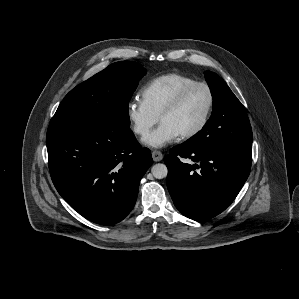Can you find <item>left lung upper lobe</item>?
I'll return each instance as SVG.
<instances>
[{
    "mask_svg": "<svg viewBox=\"0 0 299 299\" xmlns=\"http://www.w3.org/2000/svg\"><path fill=\"white\" fill-rule=\"evenodd\" d=\"M213 111L201 131L185 143L203 150L252 149V129L244 106L217 74L206 71Z\"/></svg>",
    "mask_w": 299,
    "mask_h": 299,
    "instance_id": "1",
    "label": "left lung upper lobe"
}]
</instances>
